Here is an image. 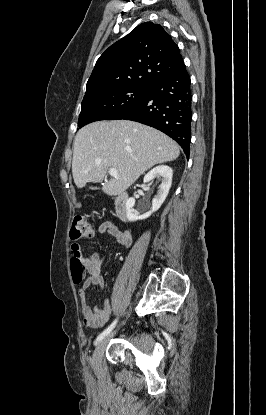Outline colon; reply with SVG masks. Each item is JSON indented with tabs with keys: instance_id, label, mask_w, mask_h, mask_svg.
I'll return each instance as SVG.
<instances>
[{
	"instance_id": "1",
	"label": "colon",
	"mask_w": 266,
	"mask_h": 415,
	"mask_svg": "<svg viewBox=\"0 0 266 415\" xmlns=\"http://www.w3.org/2000/svg\"><path fill=\"white\" fill-rule=\"evenodd\" d=\"M93 234V227L85 216L78 215L74 217L70 230V236L73 240L90 238ZM84 268L85 266L81 258V253H74L71 259V269L75 282H80L82 280Z\"/></svg>"
}]
</instances>
